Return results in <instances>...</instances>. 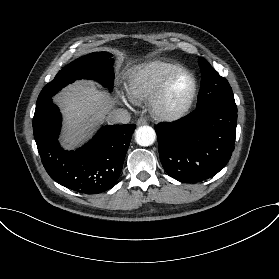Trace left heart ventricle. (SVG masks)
<instances>
[{
    "label": "left heart ventricle",
    "instance_id": "1",
    "mask_svg": "<svg viewBox=\"0 0 279 279\" xmlns=\"http://www.w3.org/2000/svg\"><path fill=\"white\" fill-rule=\"evenodd\" d=\"M192 89V79L187 74H181L172 83L168 97L166 100V107L169 109L177 108L189 96Z\"/></svg>",
    "mask_w": 279,
    "mask_h": 279
}]
</instances>
